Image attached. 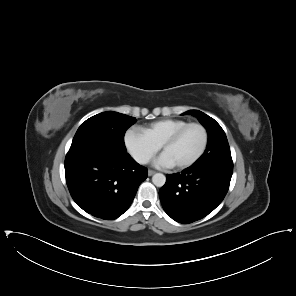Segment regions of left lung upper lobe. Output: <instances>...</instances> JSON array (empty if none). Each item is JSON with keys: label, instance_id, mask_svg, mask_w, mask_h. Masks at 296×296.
I'll list each match as a JSON object with an SVG mask.
<instances>
[{"label": "left lung upper lobe", "instance_id": "5c2ea615", "mask_svg": "<svg viewBox=\"0 0 296 296\" xmlns=\"http://www.w3.org/2000/svg\"><path fill=\"white\" fill-rule=\"evenodd\" d=\"M183 114H191L197 117L208 132L207 148L195 164L202 166L217 163H233L226 134L213 118L198 110H189Z\"/></svg>", "mask_w": 296, "mask_h": 296}]
</instances>
